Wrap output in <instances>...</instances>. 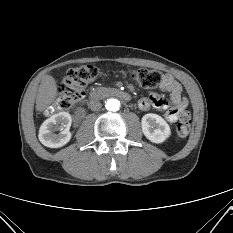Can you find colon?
Here are the masks:
<instances>
[{"instance_id": "1", "label": "colon", "mask_w": 233, "mask_h": 233, "mask_svg": "<svg viewBox=\"0 0 233 233\" xmlns=\"http://www.w3.org/2000/svg\"><path fill=\"white\" fill-rule=\"evenodd\" d=\"M102 72L95 66L83 65L70 68L63 76L57 98L47 109L48 114L71 109L84 95L87 86L97 81ZM132 79L141 87L155 88L162 82V75L156 70L140 68L130 71ZM191 115L184 111L176 127L177 136L185 137L190 131Z\"/></svg>"}]
</instances>
